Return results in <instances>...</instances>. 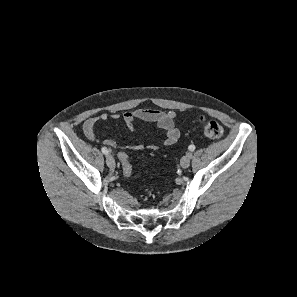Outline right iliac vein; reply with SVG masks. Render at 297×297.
Listing matches in <instances>:
<instances>
[{
    "mask_svg": "<svg viewBox=\"0 0 297 297\" xmlns=\"http://www.w3.org/2000/svg\"><path fill=\"white\" fill-rule=\"evenodd\" d=\"M106 163L109 168H111V169L115 168V165H116L115 160L111 155H107Z\"/></svg>",
    "mask_w": 297,
    "mask_h": 297,
    "instance_id": "right-iliac-vein-1",
    "label": "right iliac vein"
}]
</instances>
